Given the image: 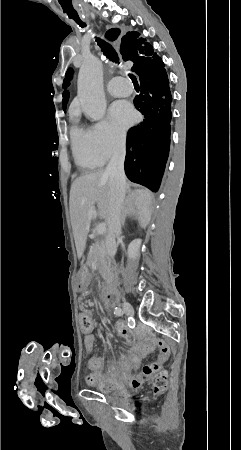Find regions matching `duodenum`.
<instances>
[{
  "label": "duodenum",
  "instance_id": "duodenum-1",
  "mask_svg": "<svg viewBox=\"0 0 241 450\" xmlns=\"http://www.w3.org/2000/svg\"><path fill=\"white\" fill-rule=\"evenodd\" d=\"M87 269H83L80 273L81 279L84 281L87 276ZM103 297L106 301L113 302L117 298V290L113 283H109L104 287Z\"/></svg>",
  "mask_w": 241,
  "mask_h": 450
}]
</instances>
